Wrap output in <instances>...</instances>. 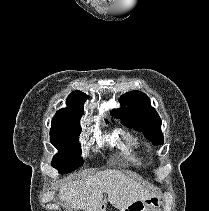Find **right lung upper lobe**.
Instances as JSON below:
<instances>
[{
  "instance_id": "cb5924a9",
  "label": "right lung upper lobe",
  "mask_w": 209,
  "mask_h": 211,
  "mask_svg": "<svg viewBox=\"0 0 209 211\" xmlns=\"http://www.w3.org/2000/svg\"><path fill=\"white\" fill-rule=\"evenodd\" d=\"M88 96L81 91H73L67 98L68 108L57 111L52 119V127L78 126L84 114L83 106Z\"/></svg>"
}]
</instances>
